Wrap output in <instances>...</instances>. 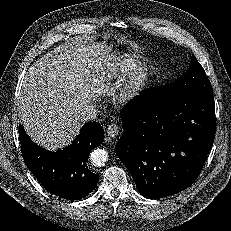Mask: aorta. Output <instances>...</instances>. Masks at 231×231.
<instances>
[{
	"mask_svg": "<svg viewBox=\"0 0 231 231\" xmlns=\"http://www.w3.org/2000/svg\"><path fill=\"white\" fill-rule=\"evenodd\" d=\"M108 159V153L104 149H95L90 154V160L94 166L101 167L103 166Z\"/></svg>",
	"mask_w": 231,
	"mask_h": 231,
	"instance_id": "1",
	"label": "aorta"
}]
</instances>
